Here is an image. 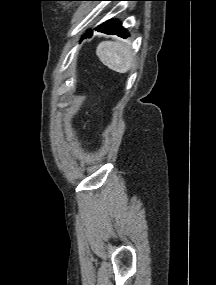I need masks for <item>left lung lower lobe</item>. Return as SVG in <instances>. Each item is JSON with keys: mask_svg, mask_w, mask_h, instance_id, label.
<instances>
[{"mask_svg": "<svg viewBox=\"0 0 216 285\" xmlns=\"http://www.w3.org/2000/svg\"><path fill=\"white\" fill-rule=\"evenodd\" d=\"M95 30L106 34L117 35L122 38L128 37V32L122 27L121 22L114 19L107 20L106 22L100 24L95 28ZM91 35L92 32H88L86 34L87 37H90Z\"/></svg>", "mask_w": 216, "mask_h": 285, "instance_id": "left-lung-lower-lobe-1", "label": "left lung lower lobe"}]
</instances>
